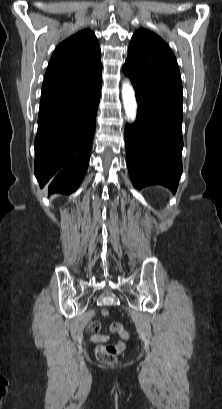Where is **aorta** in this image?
Instances as JSON below:
<instances>
[{
    "mask_svg": "<svg viewBox=\"0 0 222 409\" xmlns=\"http://www.w3.org/2000/svg\"><path fill=\"white\" fill-rule=\"evenodd\" d=\"M122 98L126 116L131 122H134L137 115V102L135 92L129 82L123 84Z\"/></svg>",
    "mask_w": 222,
    "mask_h": 409,
    "instance_id": "762f6f07",
    "label": "aorta"
}]
</instances>
